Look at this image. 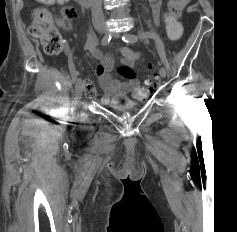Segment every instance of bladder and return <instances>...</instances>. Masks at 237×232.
Returning <instances> with one entry per match:
<instances>
[{
  "label": "bladder",
  "mask_w": 237,
  "mask_h": 232,
  "mask_svg": "<svg viewBox=\"0 0 237 232\" xmlns=\"http://www.w3.org/2000/svg\"><path fill=\"white\" fill-rule=\"evenodd\" d=\"M136 104L135 103H130V102H127L126 104H111L110 107L112 109H116V110H124V109H130V108H133Z\"/></svg>",
  "instance_id": "bladder-1"
}]
</instances>
